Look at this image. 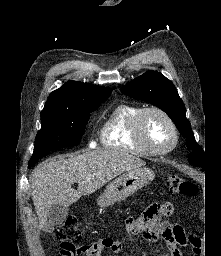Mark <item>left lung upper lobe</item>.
Listing matches in <instances>:
<instances>
[{"label": "left lung upper lobe", "instance_id": "obj_1", "mask_svg": "<svg viewBox=\"0 0 221 256\" xmlns=\"http://www.w3.org/2000/svg\"><path fill=\"white\" fill-rule=\"evenodd\" d=\"M121 92L132 98L151 102L163 111L175 123L180 134L187 139L186 145L192 152L189 162L204 167L205 154L195 141L186 109L173 83L157 71H147L121 88Z\"/></svg>", "mask_w": 221, "mask_h": 256}]
</instances>
